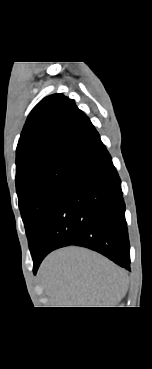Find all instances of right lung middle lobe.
<instances>
[{
  "mask_svg": "<svg viewBox=\"0 0 152 369\" xmlns=\"http://www.w3.org/2000/svg\"><path fill=\"white\" fill-rule=\"evenodd\" d=\"M74 162L59 161L32 170L16 181L19 208L32 252Z\"/></svg>",
  "mask_w": 152,
  "mask_h": 369,
  "instance_id": "obj_1",
  "label": "right lung middle lobe"
}]
</instances>
